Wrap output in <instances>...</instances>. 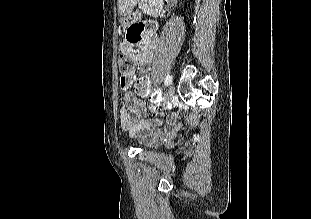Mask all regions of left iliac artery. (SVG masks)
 Returning a JSON list of instances; mask_svg holds the SVG:
<instances>
[{
    "mask_svg": "<svg viewBox=\"0 0 311 219\" xmlns=\"http://www.w3.org/2000/svg\"><path fill=\"white\" fill-rule=\"evenodd\" d=\"M164 83L166 86H169L172 83V77L169 74L165 77Z\"/></svg>",
    "mask_w": 311,
    "mask_h": 219,
    "instance_id": "left-iliac-artery-1",
    "label": "left iliac artery"
}]
</instances>
